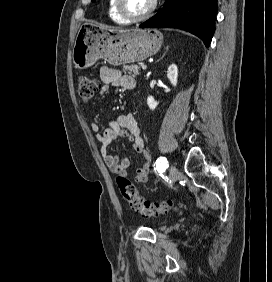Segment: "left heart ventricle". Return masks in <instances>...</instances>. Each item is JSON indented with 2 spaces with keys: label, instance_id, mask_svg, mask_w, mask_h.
Segmentation results:
<instances>
[{
  "label": "left heart ventricle",
  "instance_id": "obj_1",
  "mask_svg": "<svg viewBox=\"0 0 272 282\" xmlns=\"http://www.w3.org/2000/svg\"><path fill=\"white\" fill-rule=\"evenodd\" d=\"M125 8L133 15L145 13L151 6L153 0H123Z\"/></svg>",
  "mask_w": 272,
  "mask_h": 282
}]
</instances>
